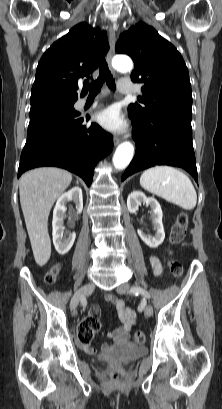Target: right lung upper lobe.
Wrapping results in <instances>:
<instances>
[{
    "label": "right lung upper lobe",
    "instance_id": "right-lung-upper-lobe-1",
    "mask_svg": "<svg viewBox=\"0 0 222 409\" xmlns=\"http://www.w3.org/2000/svg\"><path fill=\"white\" fill-rule=\"evenodd\" d=\"M109 49L107 35L79 23L42 56L31 91V107L47 103H74L83 77L98 67ZM83 87L81 97L86 94Z\"/></svg>",
    "mask_w": 222,
    "mask_h": 409
}]
</instances>
